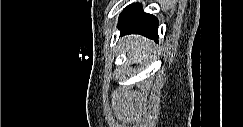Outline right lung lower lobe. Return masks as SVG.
Listing matches in <instances>:
<instances>
[{
  "label": "right lung lower lobe",
  "mask_w": 243,
  "mask_h": 127,
  "mask_svg": "<svg viewBox=\"0 0 243 127\" xmlns=\"http://www.w3.org/2000/svg\"><path fill=\"white\" fill-rule=\"evenodd\" d=\"M158 23L156 17L143 12L141 5L134 3L121 13L118 28L121 30V35L140 34L157 41Z\"/></svg>",
  "instance_id": "1"
}]
</instances>
